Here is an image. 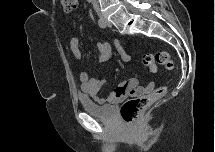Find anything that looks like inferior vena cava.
<instances>
[{
    "mask_svg": "<svg viewBox=\"0 0 215 152\" xmlns=\"http://www.w3.org/2000/svg\"><path fill=\"white\" fill-rule=\"evenodd\" d=\"M92 4H93V6L95 7V8H97V0H92Z\"/></svg>",
    "mask_w": 215,
    "mask_h": 152,
    "instance_id": "obj_1",
    "label": "inferior vena cava"
}]
</instances>
